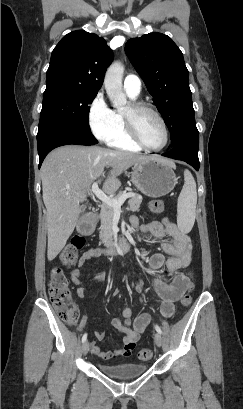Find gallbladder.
Wrapping results in <instances>:
<instances>
[{"mask_svg":"<svg viewBox=\"0 0 243 409\" xmlns=\"http://www.w3.org/2000/svg\"><path fill=\"white\" fill-rule=\"evenodd\" d=\"M85 208H86V206H82V207H81L82 211H84V210H85Z\"/></svg>","mask_w":243,"mask_h":409,"instance_id":"1","label":"gallbladder"}]
</instances>
